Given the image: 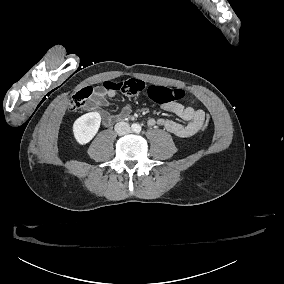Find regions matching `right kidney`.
<instances>
[{
    "instance_id": "obj_1",
    "label": "right kidney",
    "mask_w": 284,
    "mask_h": 284,
    "mask_svg": "<svg viewBox=\"0 0 284 284\" xmlns=\"http://www.w3.org/2000/svg\"><path fill=\"white\" fill-rule=\"evenodd\" d=\"M100 125L101 115L98 112H88L77 118L72 125V134L77 144H88L98 133Z\"/></svg>"
}]
</instances>
